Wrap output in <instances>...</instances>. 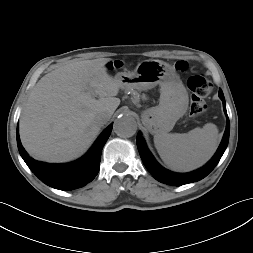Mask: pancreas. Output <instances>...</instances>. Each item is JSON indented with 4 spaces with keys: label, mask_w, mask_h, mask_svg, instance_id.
I'll list each match as a JSON object with an SVG mask.
<instances>
[{
    "label": "pancreas",
    "mask_w": 253,
    "mask_h": 253,
    "mask_svg": "<svg viewBox=\"0 0 253 253\" xmlns=\"http://www.w3.org/2000/svg\"><path fill=\"white\" fill-rule=\"evenodd\" d=\"M138 99H139V96H137V97L135 98L136 101H138Z\"/></svg>",
    "instance_id": "1"
}]
</instances>
